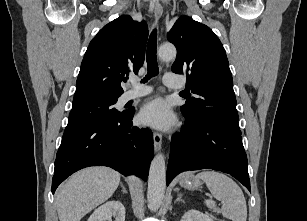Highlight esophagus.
<instances>
[{
	"label": "esophagus",
	"mask_w": 307,
	"mask_h": 221,
	"mask_svg": "<svg viewBox=\"0 0 307 221\" xmlns=\"http://www.w3.org/2000/svg\"><path fill=\"white\" fill-rule=\"evenodd\" d=\"M162 14H163V7L160 4H156L154 6V16H155L156 22L159 21ZM153 137H154V149L156 152H158L161 149V145H162V135L158 132H155L153 134Z\"/></svg>",
	"instance_id": "1"
}]
</instances>
